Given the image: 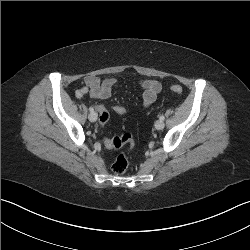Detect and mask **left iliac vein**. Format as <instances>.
<instances>
[{"label":"left iliac vein","instance_id":"obj_1","mask_svg":"<svg viewBox=\"0 0 250 250\" xmlns=\"http://www.w3.org/2000/svg\"><path fill=\"white\" fill-rule=\"evenodd\" d=\"M164 126H165V124H164V122L162 120H158L155 123V128L157 130H162L164 128Z\"/></svg>","mask_w":250,"mask_h":250}]
</instances>
